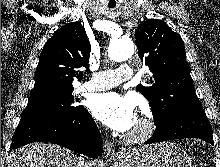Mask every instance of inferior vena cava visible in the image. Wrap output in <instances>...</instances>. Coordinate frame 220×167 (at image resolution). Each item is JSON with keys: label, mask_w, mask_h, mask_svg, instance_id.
<instances>
[{"label": "inferior vena cava", "mask_w": 220, "mask_h": 167, "mask_svg": "<svg viewBox=\"0 0 220 167\" xmlns=\"http://www.w3.org/2000/svg\"><path fill=\"white\" fill-rule=\"evenodd\" d=\"M76 167H92V164L89 162H86L83 158H79L77 162Z\"/></svg>", "instance_id": "inferior-vena-cava-1"}]
</instances>
